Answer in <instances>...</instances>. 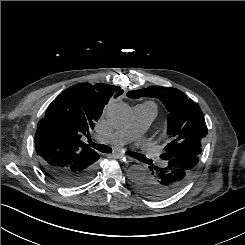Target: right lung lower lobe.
I'll list each match as a JSON object with an SVG mask.
<instances>
[{
  "label": "right lung lower lobe",
  "instance_id": "1",
  "mask_svg": "<svg viewBox=\"0 0 245 245\" xmlns=\"http://www.w3.org/2000/svg\"><path fill=\"white\" fill-rule=\"evenodd\" d=\"M100 156L74 162L65 167H50L41 162L46 174L63 187L80 186L93 178L96 172L97 160Z\"/></svg>",
  "mask_w": 245,
  "mask_h": 245
}]
</instances>
